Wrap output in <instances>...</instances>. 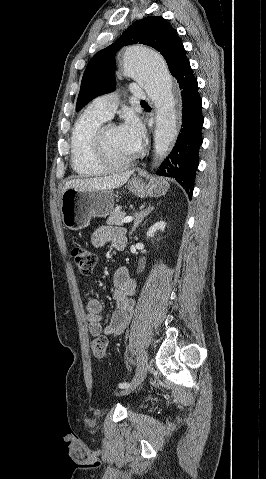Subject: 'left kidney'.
<instances>
[{"mask_svg":"<svg viewBox=\"0 0 266 479\" xmlns=\"http://www.w3.org/2000/svg\"><path fill=\"white\" fill-rule=\"evenodd\" d=\"M165 227H166V223L163 221L155 223L147 231V237H151V238L154 237L157 231H164Z\"/></svg>","mask_w":266,"mask_h":479,"instance_id":"left-kidney-1","label":"left kidney"}]
</instances>
